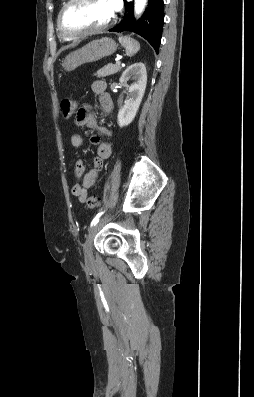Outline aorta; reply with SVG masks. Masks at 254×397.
Instances as JSON below:
<instances>
[{
  "label": "aorta",
  "instance_id": "aorta-1",
  "mask_svg": "<svg viewBox=\"0 0 254 397\" xmlns=\"http://www.w3.org/2000/svg\"><path fill=\"white\" fill-rule=\"evenodd\" d=\"M147 0H135V13L141 14L146 6Z\"/></svg>",
  "mask_w": 254,
  "mask_h": 397
}]
</instances>
